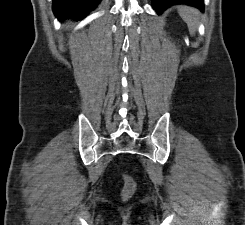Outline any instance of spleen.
<instances>
[{
	"mask_svg": "<svg viewBox=\"0 0 245 225\" xmlns=\"http://www.w3.org/2000/svg\"><path fill=\"white\" fill-rule=\"evenodd\" d=\"M179 14L187 23L190 34L193 35L199 23V11L191 7L182 6L179 8Z\"/></svg>",
	"mask_w": 245,
	"mask_h": 225,
	"instance_id": "spleen-1",
	"label": "spleen"
}]
</instances>
